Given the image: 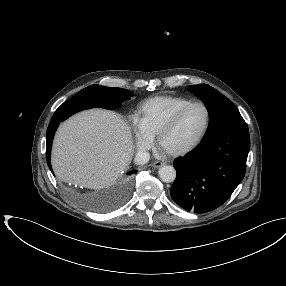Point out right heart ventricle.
<instances>
[{
	"label": "right heart ventricle",
	"instance_id": "1",
	"mask_svg": "<svg viewBox=\"0 0 286 286\" xmlns=\"http://www.w3.org/2000/svg\"><path fill=\"white\" fill-rule=\"evenodd\" d=\"M192 100L179 96H155L140 107V122L151 135L158 134L160 128L183 106Z\"/></svg>",
	"mask_w": 286,
	"mask_h": 286
}]
</instances>
